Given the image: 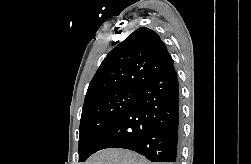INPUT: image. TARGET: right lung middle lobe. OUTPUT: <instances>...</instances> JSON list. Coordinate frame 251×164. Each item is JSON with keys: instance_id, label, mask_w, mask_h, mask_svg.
Segmentation results:
<instances>
[{"instance_id": "1", "label": "right lung middle lobe", "mask_w": 251, "mask_h": 164, "mask_svg": "<svg viewBox=\"0 0 251 164\" xmlns=\"http://www.w3.org/2000/svg\"><path fill=\"white\" fill-rule=\"evenodd\" d=\"M138 88H122L84 103L79 137V162H85L102 136L137 100Z\"/></svg>"}]
</instances>
